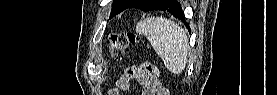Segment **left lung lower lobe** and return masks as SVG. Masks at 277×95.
Listing matches in <instances>:
<instances>
[{
    "label": "left lung lower lobe",
    "mask_w": 277,
    "mask_h": 95,
    "mask_svg": "<svg viewBox=\"0 0 277 95\" xmlns=\"http://www.w3.org/2000/svg\"><path fill=\"white\" fill-rule=\"evenodd\" d=\"M152 0H134L127 8H138L145 12L150 10H162L168 11L173 14L175 17L184 20L183 12L181 9L180 3L176 5L174 0H164V2L156 8H150ZM126 8V9H127Z\"/></svg>",
    "instance_id": "1"
}]
</instances>
